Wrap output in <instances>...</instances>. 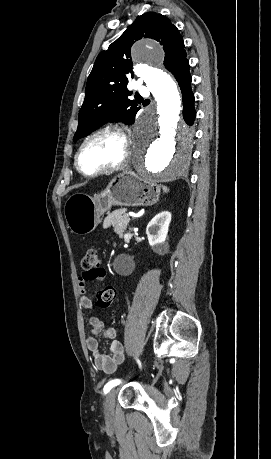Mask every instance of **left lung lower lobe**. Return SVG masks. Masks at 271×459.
I'll return each mask as SVG.
<instances>
[{"instance_id":"left-lung-lower-lobe-1","label":"left lung lower lobe","mask_w":271,"mask_h":459,"mask_svg":"<svg viewBox=\"0 0 271 459\" xmlns=\"http://www.w3.org/2000/svg\"><path fill=\"white\" fill-rule=\"evenodd\" d=\"M171 73L177 80L182 92L184 120L188 125H192L196 111L194 109V94L191 90L192 78L189 72V60L186 58L181 61Z\"/></svg>"}]
</instances>
